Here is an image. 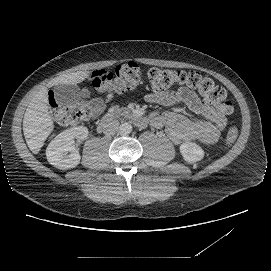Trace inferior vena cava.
I'll return each mask as SVG.
<instances>
[{
  "instance_id": "inferior-vena-cava-1",
  "label": "inferior vena cava",
  "mask_w": 271,
  "mask_h": 271,
  "mask_svg": "<svg viewBox=\"0 0 271 271\" xmlns=\"http://www.w3.org/2000/svg\"><path fill=\"white\" fill-rule=\"evenodd\" d=\"M119 121L110 114L105 115L100 123V127L103 133L106 135H112L119 129Z\"/></svg>"
}]
</instances>
